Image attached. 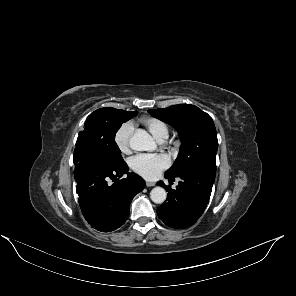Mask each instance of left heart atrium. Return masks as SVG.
Segmentation results:
<instances>
[{"instance_id":"left-heart-atrium-1","label":"left heart atrium","mask_w":296,"mask_h":296,"mask_svg":"<svg viewBox=\"0 0 296 296\" xmlns=\"http://www.w3.org/2000/svg\"><path fill=\"white\" fill-rule=\"evenodd\" d=\"M169 164V159L163 154H141L131 160L130 167L139 176L153 180L167 169Z\"/></svg>"}]
</instances>
